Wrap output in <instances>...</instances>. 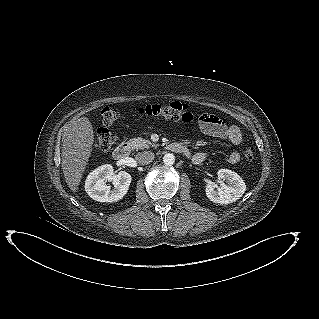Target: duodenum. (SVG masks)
<instances>
[{
  "instance_id": "410a0bca",
  "label": "duodenum",
  "mask_w": 319,
  "mask_h": 319,
  "mask_svg": "<svg viewBox=\"0 0 319 319\" xmlns=\"http://www.w3.org/2000/svg\"><path fill=\"white\" fill-rule=\"evenodd\" d=\"M167 147L169 150L176 152V153H180V154H184V155H188V153H189L188 149L180 143H171ZM129 151H130L129 144L122 143L114 149L113 157L115 160H123L128 156Z\"/></svg>"
}]
</instances>
